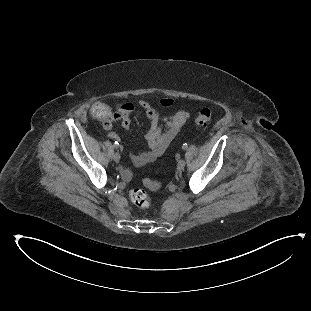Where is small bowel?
Here are the masks:
<instances>
[{
    "instance_id": "c3829d8e",
    "label": "small bowel",
    "mask_w": 311,
    "mask_h": 311,
    "mask_svg": "<svg viewBox=\"0 0 311 311\" xmlns=\"http://www.w3.org/2000/svg\"><path fill=\"white\" fill-rule=\"evenodd\" d=\"M160 105L169 108L173 105L170 99H163ZM146 115L149 121V128L146 133V142L148 149L145 151L133 152L131 161L136 167H142L158 159L168 148L172 140L179 133L185 124L188 113L185 110H179L169 117H160L154 105L147 99H141L137 105ZM137 106L132 102H118L116 104V113L121 121V127L129 129L132 123V116ZM108 136L112 139H118L119 136L113 132L112 126H104Z\"/></svg>"
}]
</instances>
